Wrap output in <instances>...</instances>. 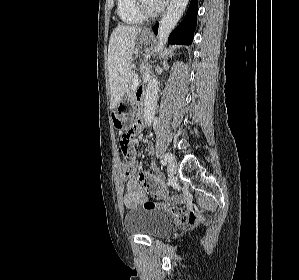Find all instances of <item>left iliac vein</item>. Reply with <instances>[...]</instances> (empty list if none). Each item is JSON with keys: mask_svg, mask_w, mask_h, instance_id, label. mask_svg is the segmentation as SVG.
Listing matches in <instances>:
<instances>
[{"mask_svg": "<svg viewBox=\"0 0 299 280\" xmlns=\"http://www.w3.org/2000/svg\"><path fill=\"white\" fill-rule=\"evenodd\" d=\"M168 175L170 178H173L174 176H176L177 174V164L174 160L170 161V163L168 164Z\"/></svg>", "mask_w": 299, "mask_h": 280, "instance_id": "left-iliac-vein-1", "label": "left iliac vein"}]
</instances>
